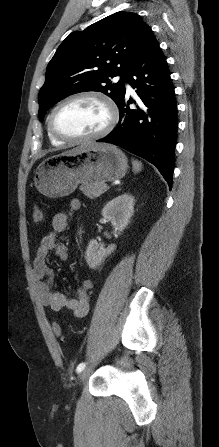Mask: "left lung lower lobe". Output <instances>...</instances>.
<instances>
[{
    "instance_id": "obj_1",
    "label": "left lung lower lobe",
    "mask_w": 219,
    "mask_h": 447,
    "mask_svg": "<svg viewBox=\"0 0 219 447\" xmlns=\"http://www.w3.org/2000/svg\"><path fill=\"white\" fill-rule=\"evenodd\" d=\"M166 58L152 34L131 63L125 80L136 89L143 109H130L125 93L118 108L120 120L98 142L127 149L157 167L171 189L178 129L175 92Z\"/></svg>"
}]
</instances>
